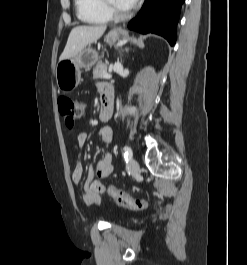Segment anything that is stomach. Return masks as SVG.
<instances>
[{
  "instance_id": "1",
  "label": "stomach",
  "mask_w": 247,
  "mask_h": 265,
  "mask_svg": "<svg viewBox=\"0 0 247 265\" xmlns=\"http://www.w3.org/2000/svg\"><path fill=\"white\" fill-rule=\"evenodd\" d=\"M123 34L124 31L114 29L106 35L105 41L109 45H113ZM98 60V53L91 47H88L70 59L59 61L55 69L59 90L65 93L74 90L81 81V69H90Z\"/></svg>"
}]
</instances>
